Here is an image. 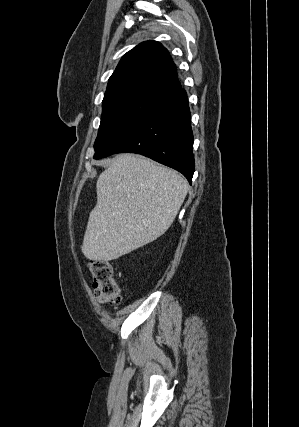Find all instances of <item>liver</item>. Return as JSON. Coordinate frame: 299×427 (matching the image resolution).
<instances>
[{
    "mask_svg": "<svg viewBox=\"0 0 299 427\" xmlns=\"http://www.w3.org/2000/svg\"><path fill=\"white\" fill-rule=\"evenodd\" d=\"M108 162L97 179V204L81 248L92 261L117 259L164 234L189 188L176 171L137 154Z\"/></svg>",
    "mask_w": 299,
    "mask_h": 427,
    "instance_id": "liver-1",
    "label": "liver"
}]
</instances>
